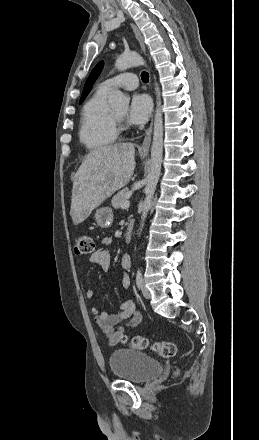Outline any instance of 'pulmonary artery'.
I'll return each instance as SVG.
<instances>
[{
	"label": "pulmonary artery",
	"mask_w": 259,
	"mask_h": 440,
	"mask_svg": "<svg viewBox=\"0 0 259 440\" xmlns=\"http://www.w3.org/2000/svg\"><path fill=\"white\" fill-rule=\"evenodd\" d=\"M138 86V77L134 73H124L115 77L106 79L99 85V89L109 92L114 88H124L133 90Z\"/></svg>",
	"instance_id": "obj_1"
}]
</instances>
